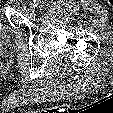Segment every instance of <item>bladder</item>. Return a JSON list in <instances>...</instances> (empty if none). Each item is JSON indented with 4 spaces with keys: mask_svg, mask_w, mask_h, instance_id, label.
I'll return each mask as SVG.
<instances>
[{
    "mask_svg": "<svg viewBox=\"0 0 113 113\" xmlns=\"http://www.w3.org/2000/svg\"><path fill=\"white\" fill-rule=\"evenodd\" d=\"M12 31L7 24L4 14L0 10V50L11 43Z\"/></svg>",
    "mask_w": 113,
    "mask_h": 113,
    "instance_id": "bladder-1",
    "label": "bladder"
}]
</instances>
